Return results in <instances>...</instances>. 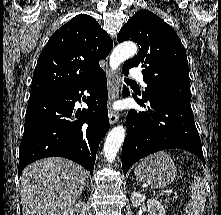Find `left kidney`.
<instances>
[{
    "label": "left kidney",
    "mask_w": 221,
    "mask_h": 215,
    "mask_svg": "<svg viewBox=\"0 0 221 215\" xmlns=\"http://www.w3.org/2000/svg\"><path fill=\"white\" fill-rule=\"evenodd\" d=\"M145 199V195L140 192L134 191L131 194V203L134 207L141 206ZM147 207L149 210V215H166L164 206L155 198H150L147 200Z\"/></svg>",
    "instance_id": "1"
}]
</instances>
